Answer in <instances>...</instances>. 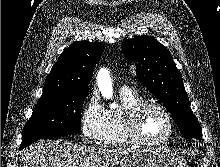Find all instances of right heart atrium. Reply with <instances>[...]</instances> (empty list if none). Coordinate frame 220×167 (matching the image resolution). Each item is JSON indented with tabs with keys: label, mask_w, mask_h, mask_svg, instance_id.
<instances>
[{
	"label": "right heart atrium",
	"mask_w": 220,
	"mask_h": 167,
	"mask_svg": "<svg viewBox=\"0 0 220 167\" xmlns=\"http://www.w3.org/2000/svg\"><path fill=\"white\" fill-rule=\"evenodd\" d=\"M106 110L96 92H91L82 107L80 123L82 138L86 142L100 140L106 119Z\"/></svg>",
	"instance_id": "1"
}]
</instances>
